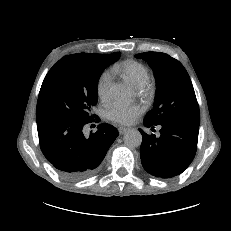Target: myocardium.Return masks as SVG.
<instances>
[{
	"label": "myocardium",
	"instance_id": "1",
	"mask_svg": "<svg viewBox=\"0 0 231 231\" xmlns=\"http://www.w3.org/2000/svg\"><path fill=\"white\" fill-rule=\"evenodd\" d=\"M138 89H139L140 94H142V95H144L146 97H149L153 92L154 84L151 81V79L148 78L146 80V82L144 83V85L142 87L138 88Z\"/></svg>",
	"mask_w": 231,
	"mask_h": 231
}]
</instances>
